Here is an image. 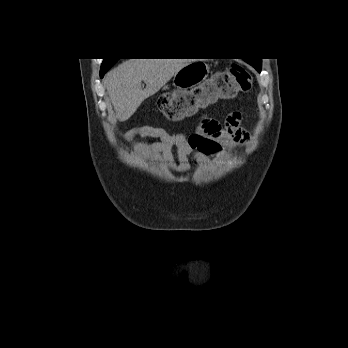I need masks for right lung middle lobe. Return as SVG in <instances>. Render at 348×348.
<instances>
[{"label": "right lung middle lobe", "instance_id": "1", "mask_svg": "<svg viewBox=\"0 0 348 348\" xmlns=\"http://www.w3.org/2000/svg\"><path fill=\"white\" fill-rule=\"evenodd\" d=\"M117 61V59H104L101 68L105 69V68H110L111 66H113L115 64V62Z\"/></svg>", "mask_w": 348, "mask_h": 348}]
</instances>
